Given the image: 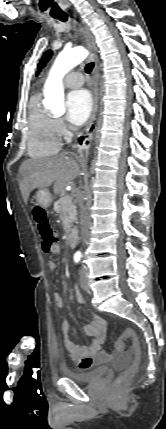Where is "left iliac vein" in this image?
<instances>
[{
    "label": "left iliac vein",
    "instance_id": "4c4485c4",
    "mask_svg": "<svg viewBox=\"0 0 166 429\" xmlns=\"http://www.w3.org/2000/svg\"><path fill=\"white\" fill-rule=\"evenodd\" d=\"M80 285H81L82 289H84V290L89 289L86 271L84 268H81V270H80Z\"/></svg>",
    "mask_w": 166,
    "mask_h": 429
}]
</instances>
